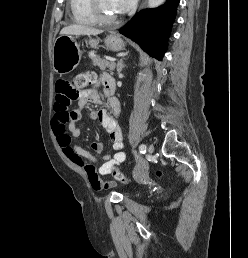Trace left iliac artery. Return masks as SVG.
<instances>
[{
    "label": "left iliac artery",
    "instance_id": "left-iliac-artery-1",
    "mask_svg": "<svg viewBox=\"0 0 248 258\" xmlns=\"http://www.w3.org/2000/svg\"><path fill=\"white\" fill-rule=\"evenodd\" d=\"M139 151H140V153H142V154L146 153V145H145V144H141V145L139 146Z\"/></svg>",
    "mask_w": 248,
    "mask_h": 258
}]
</instances>
